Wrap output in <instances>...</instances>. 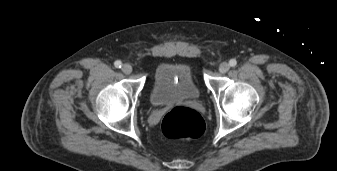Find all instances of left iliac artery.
<instances>
[{
  "label": "left iliac artery",
  "mask_w": 337,
  "mask_h": 171,
  "mask_svg": "<svg viewBox=\"0 0 337 171\" xmlns=\"http://www.w3.org/2000/svg\"><path fill=\"white\" fill-rule=\"evenodd\" d=\"M229 65H230L231 67H235V66L237 65V61H236L235 59H231V60L229 61Z\"/></svg>",
  "instance_id": "1"
}]
</instances>
